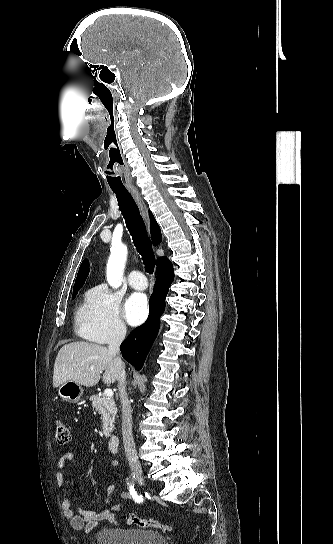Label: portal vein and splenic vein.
I'll return each mask as SVG.
<instances>
[{"label": "portal vein and splenic vein", "mask_w": 333, "mask_h": 544, "mask_svg": "<svg viewBox=\"0 0 333 544\" xmlns=\"http://www.w3.org/2000/svg\"><path fill=\"white\" fill-rule=\"evenodd\" d=\"M104 395L107 396V397H112L113 396V391L111 389H105L104 391Z\"/></svg>", "instance_id": "obj_1"}]
</instances>
